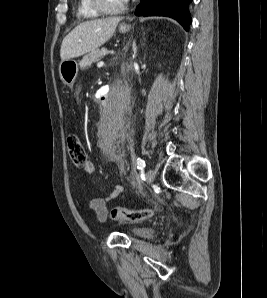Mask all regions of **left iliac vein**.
Returning <instances> with one entry per match:
<instances>
[{
	"label": "left iliac vein",
	"instance_id": "left-iliac-vein-1",
	"mask_svg": "<svg viewBox=\"0 0 267 298\" xmlns=\"http://www.w3.org/2000/svg\"><path fill=\"white\" fill-rule=\"evenodd\" d=\"M155 176H156L155 171L152 170V169H149V170L146 172V182H147L148 184H151V183L154 181Z\"/></svg>",
	"mask_w": 267,
	"mask_h": 298
}]
</instances>
